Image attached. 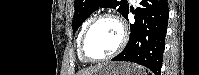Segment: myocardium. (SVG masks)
<instances>
[{
	"mask_svg": "<svg viewBox=\"0 0 199 75\" xmlns=\"http://www.w3.org/2000/svg\"><path fill=\"white\" fill-rule=\"evenodd\" d=\"M101 20H111V21L115 22L120 29L121 38L118 43V46L111 53H109L103 57H100V58H92V57L88 56L85 52V41H86V38H87L91 28L97 22H99ZM127 40H128V30H127V27H126L124 21L119 16H117L115 14H111V13L99 14L90 20V22L87 24V26L85 27V29L83 30V32L80 36L79 43H78L79 57L82 61L87 62V63H97V62H102V61L108 60L110 58H113L114 56H116L117 54H119L122 51V49L124 48V46L127 43Z\"/></svg>",
	"mask_w": 199,
	"mask_h": 75,
	"instance_id": "1",
	"label": "myocardium"
}]
</instances>
